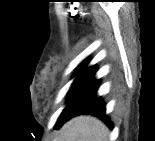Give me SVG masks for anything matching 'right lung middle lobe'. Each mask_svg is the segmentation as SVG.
Returning <instances> with one entry per match:
<instances>
[{
  "mask_svg": "<svg viewBox=\"0 0 155 141\" xmlns=\"http://www.w3.org/2000/svg\"><path fill=\"white\" fill-rule=\"evenodd\" d=\"M75 76L77 77L68 92L67 102H69L71 98L94 76V73L93 72L76 73ZM62 118H63V112L60 115L57 123H59Z\"/></svg>",
  "mask_w": 155,
  "mask_h": 141,
  "instance_id": "1",
  "label": "right lung middle lobe"
}]
</instances>
